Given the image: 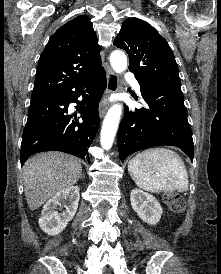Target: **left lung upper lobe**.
Here are the masks:
<instances>
[{
	"instance_id": "obj_1",
	"label": "left lung upper lobe",
	"mask_w": 221,
	"mask_h": 274,
	"mask_svg": "<svg viewBox=\"0 0 221 274\" xmlns=\"http://www.w3.org/2000/svg\"><path fill=\"white\" fill-rule=\"evenodd\" d=\"M113 44L128 53L129 71L147 88L183 97L174 54L155 28L138 18H128Z\"/></svg>"
}]
</instances>
